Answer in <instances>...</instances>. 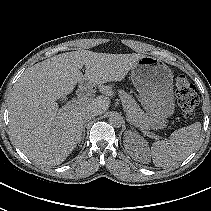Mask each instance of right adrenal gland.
Segmentation results:
<instances>
[{
	"label": "right adrenal gland",
	"instance_id": "right-adrenal-gland-1",
	"mask_svg": "<svg viewBox=\"0 0 211 211\" xmlns=\"http://www.w3.org/2000/svg\"><path fill=\"white\" fill-rule=\"evenodd\" d=\"M85 127H86V124H84V126H83V137L82 138H84V136H85Z\"/></svg>",
	"mask_w": 211,
	"mask_h": 211
}]
</instances>
